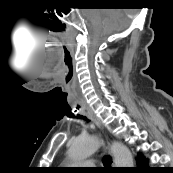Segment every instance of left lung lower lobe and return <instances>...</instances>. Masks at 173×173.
<instances>
[{
  "instance_id": "0a47b994",
  "label": "left lung lower lobe",
  "mask_w": 173,
  "mask_h": 173,
  "mask_svg": "<svg viewBox=\"0 0 173 173\" xmlns=\"http://www.w3.org/2000/svg\"><path fill=\"white\" fill-rule=\"evenodd\" d=\"M137 162L139 164V167L133 168L136 170H145L147 168V160H145V158L143 156H139V158L137 159ZM135 172H142V171H135Z\"/></svg>"
}]
</instances>
